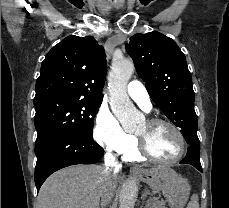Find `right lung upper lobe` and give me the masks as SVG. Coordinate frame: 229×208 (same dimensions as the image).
Listing matches in <instances>:
<instances>
[{
  "mask_svg": "<svg viewBox=\"0 0 229 208\" xmlns=\"http://www.w3.org/2000/svg\"><path fill=\"white\" fill-rule=\"evenodd\" d=\"M106 58L91 37L68 36L55 45L41 64L34 101L49 96H71L102 102Z\"/></svg>",
  "mask_w": 229,
  "mask_h": 208,
  "instance_id": "obj_1",
  "label": "right lung upper lobe"
}]
</instances>
